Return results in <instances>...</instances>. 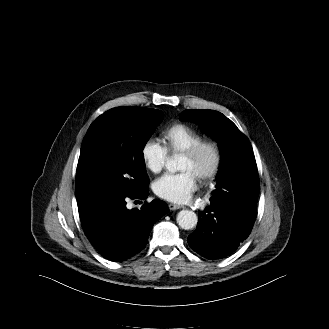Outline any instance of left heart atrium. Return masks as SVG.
Masks as SVG:
<instances>
[{"mask_svg": "<svg viewBox=\"0 0 329 329\" xmlns=\"http://www.w3.org/2000/svg\"><path fill=\"white\" fill-rule=\"evenodd\" d=\"M153 189L162 199L183 203L197 189V178L190 170L167 173L154 182Z\"/></svg>", "mask_w": 329, "mask_h": 329, "instance_id": "39dd6f15", "label": "left heart atrium"}]
</instances>
